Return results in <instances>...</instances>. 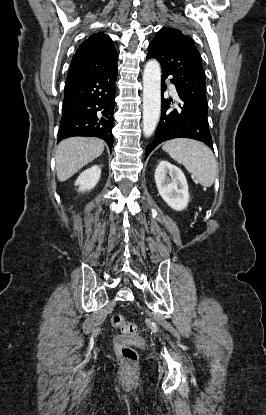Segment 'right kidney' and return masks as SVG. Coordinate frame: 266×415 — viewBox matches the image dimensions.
Returning a JSON list of instances; mask_svg holds the SVG:
<instances>
[{
	"label": "right kidney",
	"mask_w": 266,
	"mask_h": 415,
	"mask_svg": "<svg viewBox=\"0 0 266 415\" xmlns=\"http://www.w3.org/2000/svg\"><path fill=\"white\" fill-rule=\"evenodd\" d=\"M101 175V169L99 166L94 165L91 168L82 172L77 180L75 181V185L79 186L78 191H90L95 187L98 183L99 178Z\"/></svg>",
	"instance_id": "right-kidney-1"
}]
</instances>
